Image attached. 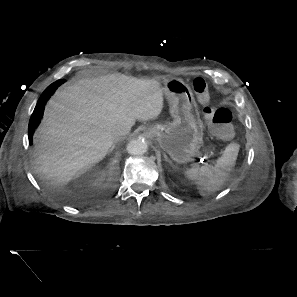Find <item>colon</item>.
Listing matches in <instances>:
<instances>
[{
  "instance_id": "obj_1",
  "label": "colon",
  "mask_w": 297,
  "mask_h": 297,
  "mask_svg": "<svg viewBox=\"0 0 297 297\" xmlns=\"http://www.w3.org/2000/svg\"><path fill=\"white\" fill-rule=\"evenodd\" d=\"M192 87L203 107L204 115L210 122L213 134L223 140L230 139L234 133L230 110L224 107L215 108L211 105L209 86L204 79L196 78Z\"/></svg>"
}]
</instances>
